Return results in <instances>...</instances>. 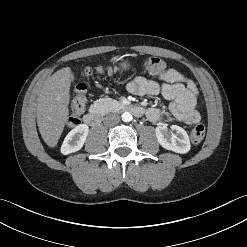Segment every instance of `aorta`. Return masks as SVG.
I'll use <instances>...</instances> for the list:
<instances>
[{
	"instance_id": "762f6f07",
	"label": "aorta",
	"mask_w": 247,
	"mask_h": 247,
	"mask_svg": "<svg viewBox=\"0 0 247 247\" xmlns=\"http://www.w3.org/2000/svg\"><path fill=\"white\" fill-rule=\"evenodd\" d=\"M121 118H122V121H124V122H130V121H132L133 116L130 112H124L121 115Z\"/></svg>"
}]
</instances>
